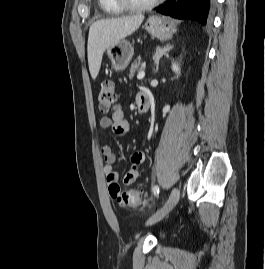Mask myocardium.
I'll use <instances>...</instances> for the list:
<instances>
[{
    "label": "myocardium",
    "instance_id": "f54148a6",
    "mask_svg": "<svg viewBox=\"0 0 265 269\" xmlns=\"http://www.w3.org/2000/svg\"><path fill=\"white\" fill-rule=\"evenodd\" d=\"M122 8L130 11H143L155 7L163 0H149L145 3H136L131 0H115Z\"/></svg>",
    "mask_w": 265,
    "mask_h": 269
}]
</instances>
